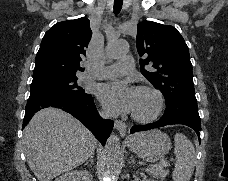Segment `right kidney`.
I'll use <instances>...</instances> for the list:
<instances>
[{
  "label": "right kidney",
  "mask_w": 228,
  "mask_h": 181,
  "mask_svg": "<svg viewBox=\"0 0 228 181\" xmlns=\"http://www.w3.org/2000/svg\"><path fill=\"white\" fill-rule=\"evenodd\" d=\"M55 181H92V175L88 171H70Z\"/></svg>",
  "instance_id": "right-kidney-1"
}]
</instances>
